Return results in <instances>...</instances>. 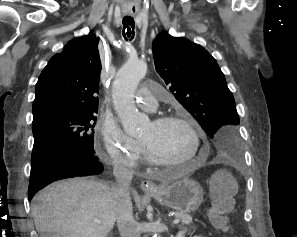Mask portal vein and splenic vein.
I'll return each instance as SVG.
<instances>
[{
  "label": "portal vein and splenic vein",
  "instance_id": "1",
  "mask_svg": "<svg viewBox=\"0 0 297 237\" xmlns=\"http://www.w3.org/2000/svg\"><path fill=\"white\" fill-rule=\"evenodd\" d=\"M95 222H96V223H99V224L101 223V221H100V220H97V219L95 220ZM179 222H180V219L176 218V219L173 221V224L176 225V224H178Z\"/></svg>",
  "mask_w": 297,
  "mask_h": 237
}]
</instances>
